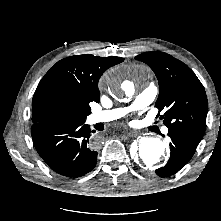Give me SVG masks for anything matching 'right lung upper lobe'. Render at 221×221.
Instances as JSON below:
<instances>
[{"instance_id": "cb5924a9", "label": "right lung upper lobe", "mask_w": 221, "mask_h": 221, "mask_svg": "<svg viewBox=\"0 0 221 221\" xmlns=\"http://www.w3.org/2000/svg\"><path fill=\"white\" fill-rule=\"evenodd\" d=\"M121 57L90 54L71 56L57 62L41 79L32 100V122H52L42 113L43 102L51 96H65L79 105L99 102L98 81L110 67L123 62Z\"/></svg>"}]
</instances>
